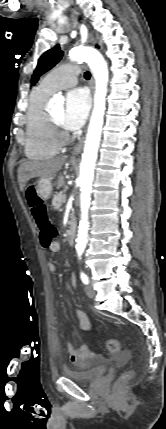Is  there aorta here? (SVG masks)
<instances>
[{
  "label": "aorta",
  "instance_id": "1",
  "mask_svg": "<svg viewBox=\"0 0 166 429\" xmlns=\"http://www.w3.org/2000/svg\"><path fill=\"white\" fill-rule=\"evenodd\" d=\"M69 57L72 61L86 62L95 78L94 107L86 135L78 180L80 186L81 219L75 248L78 253H82L88 241V211L91 201L94 169L104 123L109 74L107 63L103 56L91 47H75L70 50ZM63 102L64 98L62 96L55 95L51 99L50 105L63 104Z\"/></svg>",
  "mask_w": 166,
  "mask_h": 429
}]
</instances>
